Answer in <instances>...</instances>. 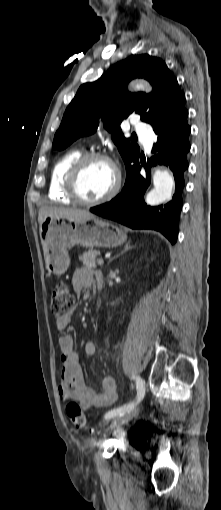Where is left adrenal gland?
<instances>
[{"instance_id": "left-adrenal-gland-1", "label": "left adrenal gland", "mask_w": 221, "mask_h": 510, "mask_svg": "<svg viewBox=\"0 0 221 510\" xmlns=\"http://www.w3.org/2000/svg\"><path fill=\"white\" fill-rule=\"evenodd\" d=\"M132 248H133V247L130 245V241H129V242H127V243L125 244V246H124L123 251H122L121 253H119L118 255L114 256L112 259H110L109 263H110L111 261H113L114 259H116L117 257H119L120 255L124 254L126 251H128V250L132 249Z\"/></svg>"}]
</instances>
